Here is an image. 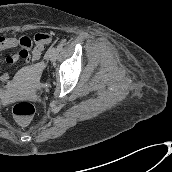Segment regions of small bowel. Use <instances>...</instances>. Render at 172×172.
Listing matches in <instances>:
<instances>
[{"label": "small bowel", "instance_id": "1", "mask_svg": "<svg viewBox=\"0 0 172 172\" xmlns=\"http://www.w3.org/2000/svg\"><path fill=\"white\" fill-rule=\"evenodd\" d=\"M43 33H37L33 38L28 36H5L0 35V51L19 48V50L6 58L8 64H15L18 61H23L25 64L31 61L39 60L44 49V46L50 41H43L39 37ZM11 78L8 73L0 74V81L7 82Z\"/></svg>", "mask_w": 172, "mask_h": 172}]
</instances>
